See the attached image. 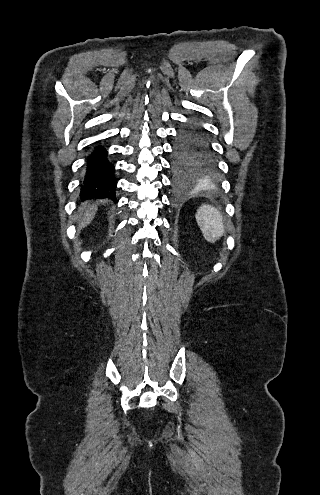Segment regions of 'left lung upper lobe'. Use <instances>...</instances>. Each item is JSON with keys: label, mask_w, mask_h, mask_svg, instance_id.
Here are the masks:
<instances>
[{"label": "left lung upper lobe", "mask_w": 320, "mask_h": 495, "mask_svg": "<svg viewBox=\"0 0 320 495\" xmlns=\"http://www.w3.org/2000/svg\"><path fill=\"white\" fill-rule=\"evenodd\" d=\"M195 128L187 127L179 132L175 145L174 170L180 175L193 172H208L209 164L197 147Z\"/></svg>", "instance_id": "5c2ea615"}]
</instances>
